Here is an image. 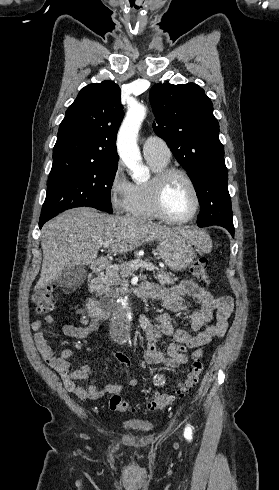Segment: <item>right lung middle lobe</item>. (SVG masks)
<instances>
[{
  "mask_svg": "<svg viewBox=\"0 0 279 490\" xmlns=\"http://www.w3.org/2000/svg\"><path fill=\"white\" fill-rule=\"evenodd\" d=\"M118 160L71 161L52 166L40 220L74 207L112 213L111 187Z\"/></svg>",
  "mask_w": 279,
  "mask_h": 490,
  "instance_id": "obj_1",
  "label": "right lung middle lobe"
}]
</instances>
